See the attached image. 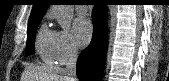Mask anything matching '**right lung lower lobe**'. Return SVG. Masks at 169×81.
Here are the masks:
<instances>
[{
    "label": "right lung lower lobe",
    "instance_id": "right-lung-lower-lobe-1",
    "mask_svg": "<svg viewBox=\"0 0 169 81\" xmlns=\"http://www.w3.org/2000/svg\"><path fill=\"white\" fill-rule=\"evenodd\" d=\"M93 37L90 45L77 60V76L80 81H100L105 64L107 48V9L97 4L92 11Z\"/></svg>",
    "mask_w": 169,
    "mask_h": 81
}]
</instances>
